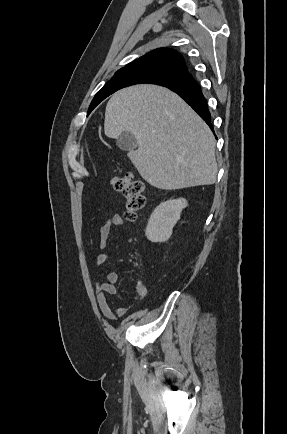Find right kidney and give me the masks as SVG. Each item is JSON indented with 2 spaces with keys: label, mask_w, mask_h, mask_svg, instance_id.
<instances>
[{
  "label": "right kidney",
  "mask_w": 287,
  "mask_h": 434,
  "mask_svg": "<svg viewBox=\"0 0 287 434\" xmlns=\"http://www.w3.org/2000/svg\"><path fill=\"white\" fill-rule=\"evenodd\" d=\"M186 199H170L162 202L153 211L145 231L151 242H166L172 235L173 227L180 219L182 210L187 207Z\"/></svg>",
  "instance_id": "obj_1"
}]
</instances>
